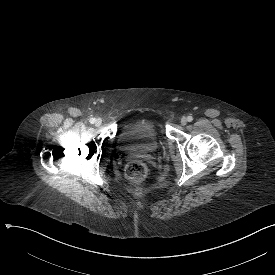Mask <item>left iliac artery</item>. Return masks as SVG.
Here are the masks:
<instances>
[{
    "instance_id": "44dca946",
    "label": "left iliac artery",
    "mask_w": 275,
    "mask_h": 275,
    "mask_svg": "<svg viewBox=\"0 0 275 275\" xmlns=\"http://www.w3.org/2000/svg\"><path fill=\"white\" fill-rule=\"evenodd\" d=\"M187 121H188V122L193 121V117H192V116H188V117H187Z\"/></svg>"
}]
</instances>
